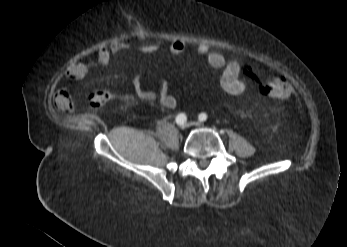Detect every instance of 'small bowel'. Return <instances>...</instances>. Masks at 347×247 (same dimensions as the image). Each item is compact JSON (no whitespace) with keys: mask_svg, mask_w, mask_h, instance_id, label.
Instances as JSON below:
<instances>
[{"mask_svg":"<svg viewBox=\"0 0 347 247\" xmlns=\"http://www.w3.org/2000/svg\"><path fill=\"white\" fill-rule=\"evenodd\" d=\"M159 42H142L136 45L135 49L141 54H153L161 49ZM130 49L127 42L120 41L110 47L102 46L96 51L95 61H77L72 63L67 69V75L75 80H81L87 76L97 66L109 64L113 54ZM186 49V43L181 39L171 40L168 43V51L171 54H180ZM197 53L206 57L209 66L220 72L219 84L221 89L232 96L243 95L249 85L252 73L245 68L239 60L226 59L218 50L212 49L209 45L199 44L196 47ZM133 87L137 96L147 102L157 100L159 104L167 109L177 106L176 98L170 93L169 83H160L157 91L147 90L143 87V72L139 71L133 78ZM56 109L63 114H71L74 111V103L70 93L63 89L60 90L55 98Z\"/></svg>","mask_w":347,"mask_h":247,"instance_id":"c3829d8e","label":"small bowel"}]
</instances>
